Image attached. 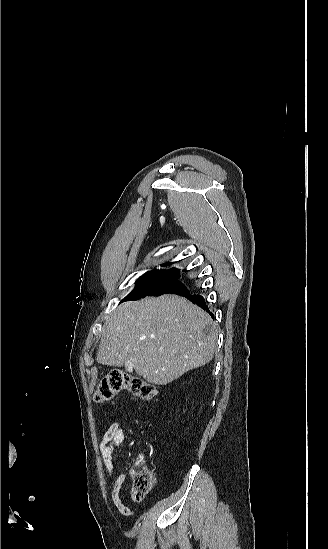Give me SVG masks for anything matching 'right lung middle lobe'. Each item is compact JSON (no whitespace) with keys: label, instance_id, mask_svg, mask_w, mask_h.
<instances>
[{"label":"right lung middle lobe","instance_id":"obj_1","mask_svg":"<svg viewBox=\"0 0 328 549\" xmlns=\"http://www.w3.org/2000/svg\"><path fill=\"white\" fill-rule=\"evenodd\" d=\"M179 276V272H147L136 281L137 286L124 300H138L145 296L167 293L182 295L188 291L178 280Z\"/></svg>","mask_w":328,"mask_h":549}]
</instances>
